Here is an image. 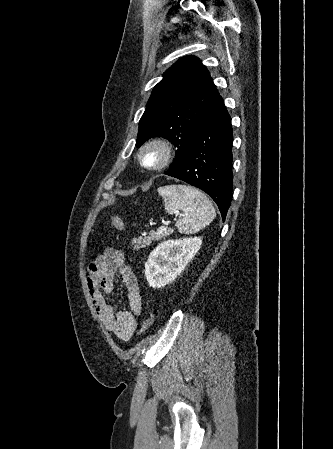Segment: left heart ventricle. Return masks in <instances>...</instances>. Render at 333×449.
Wrapping results in <instances>:
<instances>
[{
    "label": "left heart ventricle",
    "instance_id": "obj_1",
    "mask_svg": "<svg viewBox=\"0 0 333 449\" xmlns=\"http://www.w3.org/2000/svg\"><path fill=\"white\" fill-rule=\"evenodd\" d=\"M155 155L153 153H149L145 156V160L149 163L154 162L155 161Z\"/></svg>",
    "mask_w": 333,
    "mask_h": 449
}]
</instances>
